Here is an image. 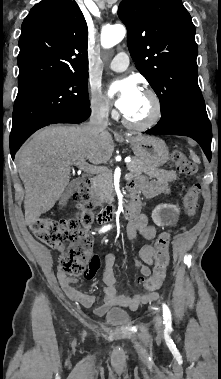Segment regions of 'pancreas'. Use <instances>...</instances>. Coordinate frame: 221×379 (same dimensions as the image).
<instances>
[{
    "instance_id": "1",
    "label": "pancreas",
    "mask_w": 221,
    "mask_h": 379,
    "mask_svg": "<svg viewBox=\"0 0 221 379\" xmlns=\"http://www.w3.org/2000/svg\"><path fill=\"white\" fill-rule=\"evenodd\" d=\"M128 169L132 172L131 177L145 174L165 182H173L177 179V174L174 170L167 171L158 169L143 163L135 157L128 164ZM90 193L95 199L101 202H112L114 200L115 192L111 170H104L103 173L93 180Z\"/></svg>"
}]
</instances>
